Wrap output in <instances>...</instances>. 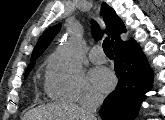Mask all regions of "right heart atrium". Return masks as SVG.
Returning a JSON list of instances; mask_svg holds the SVG:
<instances>
[{"label":"right heart atrium","instance_id":"1","mask_svg":"<svg viewBox=\"0 0 165 120\" xmlns=\"http://www.w3.org/2000/svg\"><path fill=\"white\" fill-rule=\"evenodd\" d=\"M46 90L54 98L72 102H86L100 98L99 92L90 84L80 70H69L59 56L49 61L46 76Z\"/></svg>","mask_w":165,"mask_h":120}]
</instances>
